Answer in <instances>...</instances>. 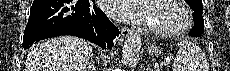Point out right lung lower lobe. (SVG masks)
I'll use <instances>...</instances> for the list:
<instances>
[{"mask_svg":"<svg viewBox=\"0 0 230 71\" xmlns=\"http://www.w3.org/2000/svg\"><path fill=\"white\" fill-rule=\"evenodd\" d=\"M95 0H34L24 31L23 48L44 38L73 35L101 48H111L119 30Z\"/></svg>","mask_w":230,"mask_h":71,"instance_id":"1","label":"right lung lower lobe"}]
</instances>
